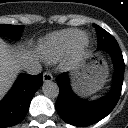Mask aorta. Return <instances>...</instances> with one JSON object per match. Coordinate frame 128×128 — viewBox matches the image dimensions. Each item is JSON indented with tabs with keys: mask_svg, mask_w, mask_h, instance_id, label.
Masks as SVG:
<instances>
[{
	"mask_svg": "<svg viewBox=\"0 0 128 128\" xmlns=\"http://www.w3.org/2000/svg\"><path fill=\"white\" fill-rule=\"evenodd\" d=\"M42 89L43 93L51 99L57 98L59 95V88L54 82L49 81L45 83Z\"/></svg>",
	"mask_w": 128,
	"mask_h": 128,
	"instance_id": "aorta-1",
	"label": "aorta"
}]
</instances>
